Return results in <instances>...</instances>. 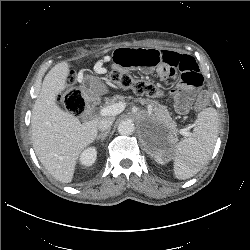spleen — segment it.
Listing matches in <instances>:
<instances>
[{"label": "spleen", "instance_id": "spleen-1", "mask_svg": "<svg viewBox=\"0 0 250 250\" xmlns=\"http://www.w3.org/2000/svg\"><path fill=\"white\" fill-rule=\"evenodd\" d=\"M218 113L214 108L202 110L193 134L180 141L174 151V175L185 180L196 175L209 160L218 134Z\"/></svg>", "mask_w": 250, "mask_h": 250}]
</instances>
